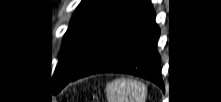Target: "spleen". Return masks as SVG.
Instances as JSON below:
<instances>
[{"instance_id":"obj_1","label":"spleen","mask_w":221,"mask_h":102,"mask_svg":"<svg viewBox=\"0 0 221 102\" xmlns=\"http://www.w3.org/2000/svg\"><path fill=\"white\" fill-rule=\"evenodd\" d=\"M108 102H145L146 86L137 80L119 78L106 86Z\"/></svg>"}]
</instances>
